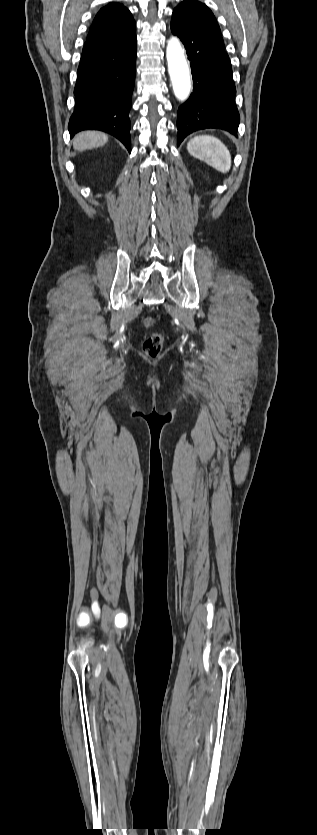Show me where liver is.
<instances>
[{
    "mask_svg": "<svg viewBox=\"0 0 317 835\" xmlns=\"http://www.w3.org/2000/svg\"><path fill=\"white\" fill-rule=\"evenodd\" d=\"M108 141V136L96 132L86 131L77 134L74 138L73 147L75 150L84 151L87 149L98 148L103 146Z\"/></svg>",
    "mask_w": 317,
    "mask_h": 835,
    "instance_id": "liver-1",
    "label": "liver"
}]
</instances>
